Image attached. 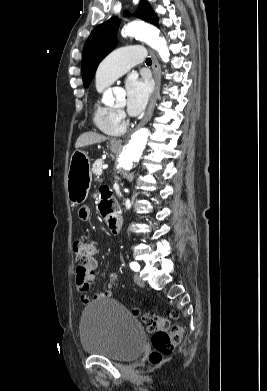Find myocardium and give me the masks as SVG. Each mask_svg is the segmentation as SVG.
<instances>
[{
    "mask_svg": "<svg viewBox=\"0 0 267 391\" xmlns=\"http://www.w3.org/2000/svg\"><path fill=\"white\" fill-rule=\"evenodd\" d=\"M116 112H118V113H119V112H121V111H120V110H117Z\"/></svg>",
    "mask_w": 267,
    "mask_h": 391,
    "instance_id": "f54148a6",
    "label": "myocardium"
}]
</instances>
